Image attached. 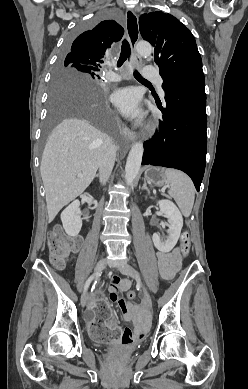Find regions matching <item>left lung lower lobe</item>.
I'll list each match as a JSON object with an SVG mask.
<instances>
[{
    "instance_id": "0a47b994",
    "label": "left lung lower lobe",
    "mask_w": 248,
    "mask_h": 389,
    "mask_svg": "<svg viewBox=\"0 0 248 389\" xmlns=\"http://www.w3.org/2000/svg\"><path fill=\"white\" fill-rule=\"evenodd\" d=\"M165 91L159 132L144 143L142 164L184 171L199 191L207 152V115L203 76L181 79Z\"/></svg>"
}]
</instances>
